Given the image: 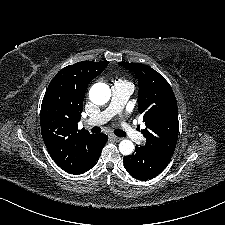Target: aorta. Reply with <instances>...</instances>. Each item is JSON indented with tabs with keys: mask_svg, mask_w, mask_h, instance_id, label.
Segmentation results:
<instances>
[{
	"mask_svg": "<svg viewBox=\"0 0 225 225\" xmlns=\"http://www.w3.org/2000/svg\"><path fill=\"white\" fill-rule=\"evenodd\" d=\"M111 97L110 87L105 83H96L89 90V98L96 105H104ZM134 150V144L130 140H122L119 143V151L123 155H130Z\"/></svg>",
	"mask_w": 225,
	"mask_h": 225,
	"instance_id": "762f6f07",
	"label": "aorta"
}]
</instances>
